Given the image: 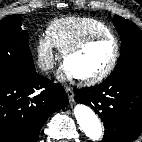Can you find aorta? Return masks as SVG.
<instances>
[{
	"mask_svg": "<svg viewBox=\"0 0 142 142\" xmlns=\"http://www.w3.org/2000/svg\"><path fill=\"white\" fill-rule=\"evenodd\" d=\"M74 116L85 135L93 141L102 138L103 130L95 112L87 105L80 103L74 108Z\"/></svg>",
	"mask_w": 142,
	"mask_h": 142,
	"instance_id": "aorta-1",
	"label": "aorta"
}]
</instances>
